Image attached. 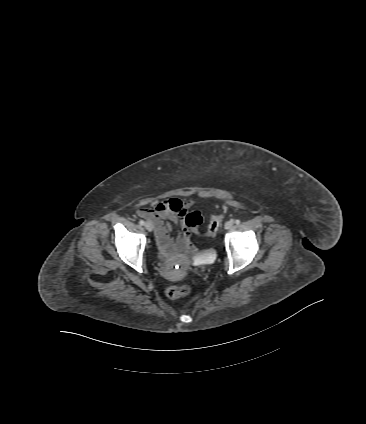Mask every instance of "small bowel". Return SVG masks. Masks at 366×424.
<instances>
[{"label": "small bowel", "mask_w": 366, "mask_h": 424, "mask_svg": "<svg viewBox=\"0 0 366 424\" xmlns=\"http://www.w3.org/2000/svg\"><path fill=\"white\" fill-rule=\"evenodd\" d=\"M192 201H183L178 198L157 200L152 208H142L138 215L152 223L162 252L168 253L175 248L183 249L190 243L189 235L183 231L173 238L172 225L177 224L184 216Z\"/></svg>", "instance_id": "c3829d8e"}]
</instances>
